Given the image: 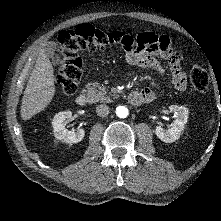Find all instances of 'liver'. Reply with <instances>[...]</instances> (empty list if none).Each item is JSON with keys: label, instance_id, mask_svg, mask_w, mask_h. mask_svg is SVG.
Masks as SVG:
<instances>
[{"label": "liver", "instance_id": "obj_1", "mask_svg": "<svg viewBox=\"0 0 221 221\" xmlns=\"http://www.w3.org/2000/svg\"><path fill=\"white\" fill-rule=\"evenodd\" d=\"M54 94L53 66L45 50L41 49L24 91L21 118L29 120L37 113H40L51 102Z\"/></svg>", "mask_w": 221, "mask_h": 221}]
</instances>
